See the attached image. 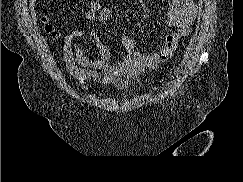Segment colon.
I'll list each match as a JSON object with an SVG mask.
<instances>
[{
	"instance_id": "5ec220e1",
	"label": "colon",
	"mask_w": 243,
	"mask_h": 182,
	"mask_svg": "<svg viewBox=\"0 0 243 182\" xmlns=\"http://www.w3.org/2000/svg\"><path fill=\"white\" fill-rule=\"evenodd\" d=\"M43 20L45 21L47 32L51 36L56 37L57 36V31L55 30L54 26L49 22V20L46 17H44Z\"/></svg>"
}]
</instances>
